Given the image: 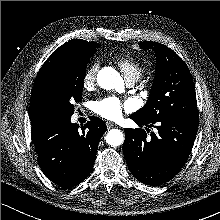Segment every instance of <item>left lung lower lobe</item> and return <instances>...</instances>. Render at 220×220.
<instances>
[{
	"instance_id": "0a47b994",
	"label": "left lung lower lobe",
	"mask_w": 220,
	"mask_h": 220,
	"mask_svg": "<svg viewBox=\"0 0 220 220\" xmlns=\"http://www.w3.org/2000/svg\"><path fill=\"white\" fill-rule=\"evenodd\" d=\"M140 127L155 125L150 137L144 129H125L124 156L132 175L150 186L163 184L177 175L192 150L198 117L168 114L154 122L130 117ZM147 129V128H146Z\"/></svg>"
}]
</instances>
